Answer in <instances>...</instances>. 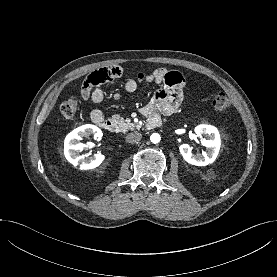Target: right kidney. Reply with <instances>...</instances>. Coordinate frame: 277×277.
<instances>
[{
  "instance_id": "ca27d5eb",
  "label": "right kidney",
  "mask_w": 277,
  "mask_h": 277,
  "mask_svg": "<svg viewBox=\"0 0 277 277\" xmlns=\"http://www.w3.org/2000/svg\"><path fill=\"white\" fill-rule=\"evenodd\" d=\"M102 135L101 129L91 124L74 129L66 136L64 141L66 159L81 170H90L98 167L105 159V156L102 154H95L93 157L79 155V152H82L87 147L85 144L80 143V140L85 136H93L94 139L100 140Z\"/></svg>"
}]
</instances>
